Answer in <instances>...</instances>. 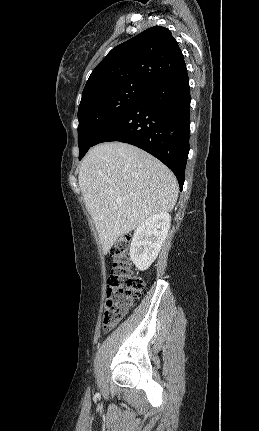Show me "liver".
I'll return each mask as SVG.
<instances>
[{"label":"liver","instance_id":"liver-1","mask_svg":"<svg viewBox=\"0 0 259 431\" xmlns=\"http://www.w3.org/2000/svg\"><path fill=\"white\" fill-rule=\"evenodd\" d=\"M78 179L104 254L148 217L171 211L179 192L168 167L142 149L121 142L91 148Z\"/></svg>","mask_w":259,"mask_h":431}]
</instances>
